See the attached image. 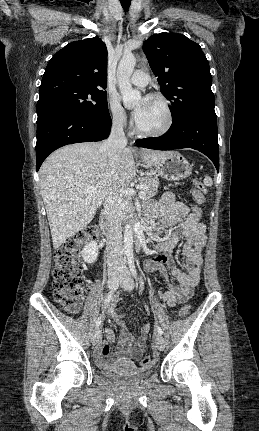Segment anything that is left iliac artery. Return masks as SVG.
<instances>
[{
    "mask_svg": "<svg viewBox=\"0 0 259 431\" xmlns=\"http://www.w3.org/2000/svg\"><path fill=\"white\" fill-rule=\"evenodd\" d=\"M128 263H129V268L132 272V275L134 276V278L136 280H138L137 271H136L135 264H134V257L132 254H130L128 256ZM155 328L159 334H161V335L163 334L161 327L157 323L155 324Z\"/></svg>",
    "mask_w": 259,
    "mask_h": 431,
    "instance_id": "44dca946",
    "label": "left iliac artery"
}]
</instances>
